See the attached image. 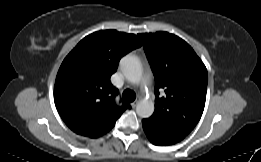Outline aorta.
I'll return each mask as SVG.
<instances>
[{
  "label": "aorta",
  "mask_w": 261,
  "mask_h": 162,
  "mask_svg": "<svg viewBox=\"0 0 261 162\" xmlns=\"http://www.w3.org/2000/svg\"><path fill=\"white\" fill-rule=\"evenodd\" d=\"M123 76L131 83H139L142 78V68L138 59L132 55L124 56L119 63ZM154 112V104L150 100L142 99L136 106V113L141 118H148Z\"/></svg>",
  "instance_id": "1"
}]
</instances>
